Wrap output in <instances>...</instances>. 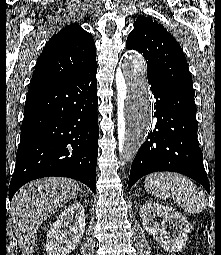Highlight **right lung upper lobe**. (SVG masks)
I'll use <instances>...</instances> for the list:
<instances>
[{
	"mask_svg": "<svg viewBox=\"0 0 221 255\" xmlns=\"http://www.w3.org/2000/svg\"><path fill=\"white\" fill-rule=\"evenodd\" d=\"M95 54V43L88 32L77 24L66 26L44 47L29 90L77 76L97 64Z\"/></svg>",
	"mask_w": 221,
	"mask_h": 255,
	"instance_id": "right-lung-upper-lobe-1",
	"label": "right lung upper lobe"
}]
</instances>
